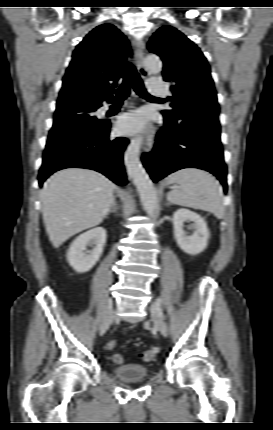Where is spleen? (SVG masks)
I'll list each match as a JSON object with an SVG mask.
<instances>
[{"instance_id": "obj_1", "label": "spleen", "mask_w": 273, "mask_h": 430, "mask_svg": "<svg viewBox=\"0 0 273 430\" xmlns=\"http://www.w3.org/2000/svg\"><path fill=\"white\" fill-rule=\"evenodd\" d=\"M166 183L178 185L167 195L170 203L205 210L223 218L225 207L221 187L209 173L197 168H183L170 174Z\"/></svg>"}]
</instances>
